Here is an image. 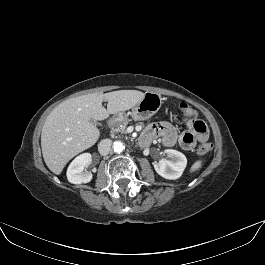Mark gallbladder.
I'll list each match as a JSON object with an SVG mask.
<instances>
[{
	"label": "gallbladder",
	"instance_id": "1",
	"mask_svg": "<svg viewBox=\"0 0 265 265\" xmlns=\"http://www.w3.org/2000/svg\"><path fill=\"white\" fill-rule=\"evenodd\" d=\"M91 123L94 124L95 126H97V124H98L97 121H95V120H91Z\"/></svg>",
	"mask_w": 265,
	"mask_h": 265
}]
</instances>
